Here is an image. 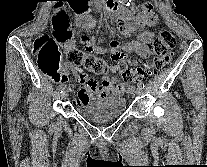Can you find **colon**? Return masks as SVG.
Here are the masks:
<instances>
[{
	"label": "colon",
	"mask_w": 207,
	"mask_h": 167,
	"mask_svg": "<svg viewBox=\"0 0 207 167\" xmlns=\"http://www.w3.org/2000/svg\"><path fill=\"white\" fill-rule=\"evenodd\" d=\"M53 36L41 34L33 44V55L37 60L39 70L54 81H59L62 67V52L68 64L82 67L86 71L101 75L107 72L108 65L96 57L89 50H82L77 46L75 33L71 25V15L65 8H59L53 18ZM176 46V38L169 31H162L153 41L152 49L156 53L154 60L146 62L136 69L126 68L127 63L122 65L123 83L132 86L141 78L162 71L171 60V50Z\"/></svg>",
	"instance_id": "1"
}]
</instances>
